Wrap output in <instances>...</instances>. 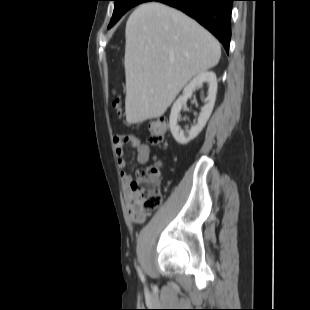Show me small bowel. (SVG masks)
I'll use <instances>...</instances> for the list:
<instances>
[{"instance_id": "1", "label": "small bowel", "mask_w": 310, "mask_h": 310, "mask_svg": "<svg viewBox=\"0 0 310 310\" xmlns=\"http://www.w3.org/2000/svg\"><path fill=\"white\" fill-rule=\"evenodd\" d=\"M113 143L115 146V154L118 165L122 168L121 180L123 196L127 205L128 214L135 223H142L148 217L149 211L143 209L142 206L137 203L135 194L130 190L129 185L132 180V176L124 170L127 164L124 156L125 147L129 145L137 150V162L139 164H145L151 159L156 160L157 157L151 154L150 148L146 144L141 143L140 140L132 134L116 135L113 138Z\"/></svg>"}]
</instances>
